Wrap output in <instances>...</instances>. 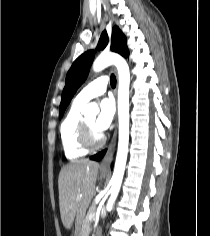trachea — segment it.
Returning <instances> with one entry per match:
<instances>
[{
	"instance_id": "trachea-1",
	"label": "trachea",
	"mask_w": 210,
	"mask_h": 236,
	"mask_svg": "<svg viewBox=\"0 0 210 236\" xmlns=\"http://www.w3.org/2000/svg\"><path fill=\"white\" fill-rule=\"evenodd\" d=\"M111 86L115 88L116 86V77L112 74L110 79Z\"/></svg>"
}]
</instances>
